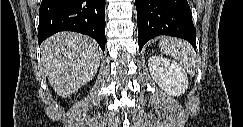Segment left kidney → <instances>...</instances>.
I'll list each match as a JSON object with an SVG mask.
<instances>
[{"label": "left kidney", "mask_w": 243, "mask_h": 127, "mask_svg": "<svg viewBox=\"0 0 243 127\" xmlns=\"http://www.w3.org/2000/svg\"><path fill=\"white\" fill-rule=\"evenodd\" d=\"M148 66L152 78L169 95L180 96L188 88L187 74L177 62L153 56Z\"/></svg>", "instance_id": "1"}]
</instances>
